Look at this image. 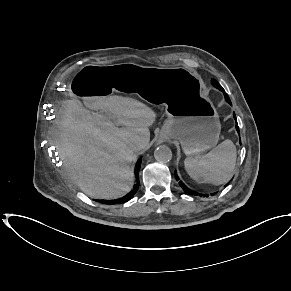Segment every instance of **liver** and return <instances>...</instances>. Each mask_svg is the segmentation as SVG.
Here are the masks:
<instances>
[{"instance_id": "1", "label": "liver", "mask_w": 291, "mask_h": 291, "mask_svg": "<svg viewBox=\"0 0 291 291\" xmlns=\"http://www.w3.org/2000/svg\"><path fill=\"white\" fill-rule=\"evenodd\" d=\"M67 100L57 115V147L71 180L82 192L99 199L128 193L133 184L131 144L143 150L156 113L144 103L121 96ZM116 120L117 126L101 114Z\"/></svg>"}]
</instances>
